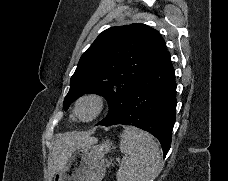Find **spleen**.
Listing matches in <instances>:
<instances>
[{"mask_svg":"<svg viewBox=\"0 0 228 181\" xmlns=\"http://www.w3.org/2000/svg\"><path fill=\"white\" fill-rule=\"evenodd\" d=\"M120 137L119 149L124 157L117 181H152L158 177L161 155L153 137L136 127H124Z\"/></svg>","mask_w":228,"mask_h":181,"instance_id":"1","label":"spleen"}]
</instances>
